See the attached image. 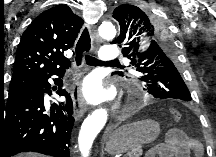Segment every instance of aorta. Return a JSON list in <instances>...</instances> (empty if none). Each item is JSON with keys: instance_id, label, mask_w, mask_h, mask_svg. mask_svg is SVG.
<instances>
[{"instance_id": "762f6f07", "label": "aorta", "mask_w": 216, "mask_h": 157, "mask_svg": "<svg viewBox=\"0 0 216 157\" xmlns=\"http://www.w3.org/2000/svg\"><path fill=\"white\" fill-rule=\"evenodd\" d=\"M99 35L106 40L116 35L115 26L111 22H104L99 27ZM107 110L104 108L92 112L83 122L78 137L79 150L82 157H88L93 141L107 122Z\"/></svg>"}]
</instances>
